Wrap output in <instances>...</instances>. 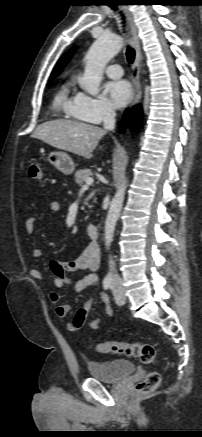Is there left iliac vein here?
Here are the masks:
<instances>
[{
	"instance_id": "4c4485c4",
	"label": "left iliac vein",
	"mask_w": 202,
	"mask_h": 437,
	"mask_svg": "<svg viewBox=\"0 0 202 437\" xmlns=\"http://www.w3.org/2000/svg\"><path fill=\"white\" fill-rule=\"evenodd\" d=\"M114 298L118 305H123L125 303V295L122 289H114Z\"/></svg>"
}]
</instances>
